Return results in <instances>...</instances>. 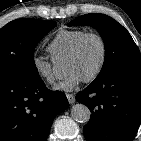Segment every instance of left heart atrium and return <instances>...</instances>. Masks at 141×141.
<instances>
[{"label": "left heart atrium", "mask_w": 141, "mask_h": 141, "mask_svg": "<svg viewBox=\"0 0 141 141\" xmlns=\"http://www.w3.org/2000/svg\"><path fill=\"white\" fill-rule=\"evenodd\" d=\"M84 79L75 71H71L67 76L56 86L57 90L72 91L75 89Z\"/></svg>", "instance_id": "39dd6f15"}]
</instances>
